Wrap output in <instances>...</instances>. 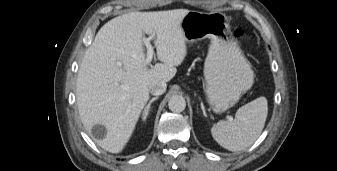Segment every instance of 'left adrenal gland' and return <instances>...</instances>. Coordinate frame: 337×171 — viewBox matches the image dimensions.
Segmentation results:
<instances>
[{
	"label": "left adrenal gland",
	"mask_w": 337,
	"mask_h": 171,
	"mask_svg": "<svg viewBox=\"0 0 337 171\" xmlns=\"http://www.w3.org/2000/svg\"><path fill=\"white\" fill-rule=\"evenodd\" d=\"M201 109H202V111H203V115L206 117L207 115H206V112H205V109H204L203 103H201Z\"/></svg>",
	"instance_id": "left-adrenal-gland-1"
}]
</instances>
